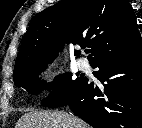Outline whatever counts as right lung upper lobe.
I'll use <instances>...</instances> for the list:
<instances>
[{
  "instance_id": "obj_1",
  "label": "right lung upper lobe",
  "mask_w": 142,
  "mask_h": 128,
  "mask_svg": "<svg viewBox=\"0 0 142 128\" xmlns=\"http://www.w3.org/2000/svg\"><path fill=\"white\" fill-rule=\"evenodd\" d=\"M71 41L92 48L91 66L126 54L142 43L127 0H61L33 18L22 39L15 69L40 60L50 61L63 43Z\"/></svg>"
}]
</instances>
